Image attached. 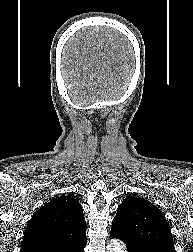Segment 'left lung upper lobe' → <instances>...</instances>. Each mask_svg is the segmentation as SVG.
Returning <instances> with one entry per match:
<instances>
[{"mask_svg": "<svg viewBox=\"0 0 193 252\" xmlns=\"http://www.w3.org/2000/svg\"><path fill=\"white\" fill-rule=\"evenodd\" d=\"M110 235L123 240L128 252H175L169 223L143 198L128 196L119 205Z\"/></svg>", "mask_w": 193, "mask_h": 252, "instance_id": "5c2ea615", "label": "left lung upper lobe"}]
</instances>
